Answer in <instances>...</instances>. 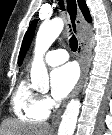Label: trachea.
Masks as SVG:
<instances>
[{
  "label": "trachea",
  "instance_id": "3493384b",
  "mask_svg": "<svg viewBox=\"0 0 112 135\" xmlns=\"http://www.w3.org/2000/svg\"><path fill=\"white\" fill-rule=\"evenodd\" d=\"M58 4H59V6H60V9H61V10H64V3H63V0H59ZM70 7H73V8L76 9V3H75V1H72V2L70 3ZM70 31H71V30H70ZM69 42H70V48H71V50H72L73 52H75V51L77 50V48H78V41H77L76 37L74 36V34L70 37Z\"/></svg>",
  "mask_w": 112,
  "mask_h": 135
}]
</instances>
